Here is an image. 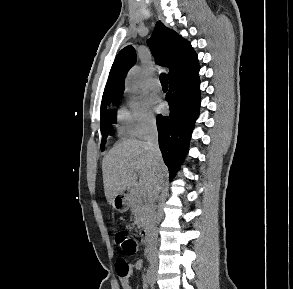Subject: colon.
Listing matches in <instances>:
<instances>
[{"label": "colon", "instance_id": "5ec220e1", "mask_svg": "<svg viewBox=\"0 0 293 289\" xmlns=\"http://www.w3.org/2000/svg\"><path fill=\"white\" fill-rule=\"evenodd\" d=\"M114 239L117 246L122 250L126 255L133 256L138 253L139 245L137 241L126 234L124 231H116L114 234ZM129 271V267L126 263H121L119 265V273L121 275H126Z\"/></svg>", "mask_w": 293, "mask_h": 289}]
</instances>
